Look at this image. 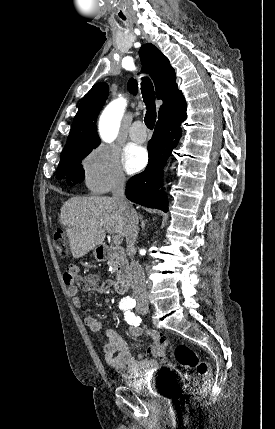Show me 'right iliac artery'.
Masks as SVG:
<instances>
[{
    "label": "right iliac artery",
    "mask_w": 275,
    "mask_h": 429,
    "mask_svg": "<svg viewBox=\"0 0 275 429\" xmlns=\"http://www.w3.org/2000/svg\"><path fill=\"white\" fill-rule=\"evenodd\" d=\"M120 308H121V309H123V310H127V309L129 308V305H127V304H122V305L120 306Z\"/></svg>",
    "instance_id": "right-iliac-artery-1"
}]
</instances>
